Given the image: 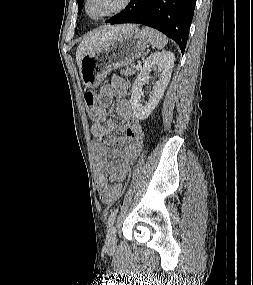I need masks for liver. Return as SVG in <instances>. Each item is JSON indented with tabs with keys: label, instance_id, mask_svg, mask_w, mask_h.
Returning <instances> with one entry per match:
<instances>
[{
	"label": "liver",
	"instance_id": "6515ba94",
	"mask_svg": "<svg viewBox=\"0 0 253 285\" xmlns=\"http://www.w3.org/2000/svg\"><path fill=\"white\" fill-rule=\"evenodd\" d=\"M135 26L131 24L119 25V26H104L93 32L88 33L81 43L79 44L76 51V61L80 65L82 58L94 50L108 44L115 37L122 33L134 29Z\"/></svg>",
	"mask_w": 253,
	"mask_h": 285
}]
</instances>
